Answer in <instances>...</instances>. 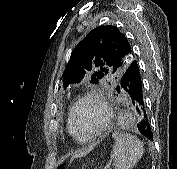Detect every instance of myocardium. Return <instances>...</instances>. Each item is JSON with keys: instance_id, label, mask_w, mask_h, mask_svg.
<instances>
[{"instance_id": "obj_1", "label": "myocardium", "mask_w": 177, "mask_h": 169, "mask_svg": "<svg viewBox=\"0 0 177 169\" xmlns=\"http://www.w3.org/2000/svg\"><path fill=\"white\" fill-rule=\"evenodd\" d=\"M88 99H93L99 104L101 110L103 111V120L100 127L96 131H94L90 135L82 136L79 134L77 130L75 118H76L78 107L81 105L82 102ZM111 117H112V112L108 103L104 99L103 95L96 90H88L86 92L81 93L77 97V99L75 100V102L73 103L70 109V124H71L72 131L74 135L81 141H91L97 138L98 136H100L102 133H104L109 127Z\"/></svg>"}]
</instances>
